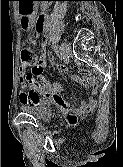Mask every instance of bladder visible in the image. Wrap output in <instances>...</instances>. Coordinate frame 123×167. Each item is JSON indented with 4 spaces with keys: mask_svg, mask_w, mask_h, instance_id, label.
Here are the masks:
<instances>
[{
    "mask_svg": "<svg viewBox=\"0 0 123 167\" xmlns=\"http://www.w3.org/2000/svg\"><path fill=\"white\" fill-rule=\"evenodd\" d=\"M21 110L41 120H47L52 115L51 107L48 104H22Z\"/></svg>",
    "mask_w": 123,
    "mask_h": 167,
    "instance_id": "bladder-1",
    "label": "bladder"
}]
</instances>
